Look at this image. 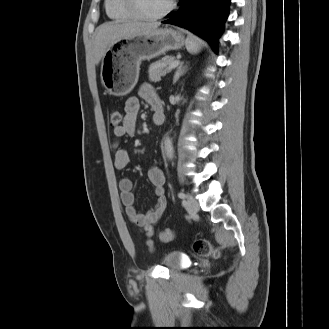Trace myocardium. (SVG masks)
<instances>
[{
	"label": "myocardium",
	"mask_w": 329,
	"mask_h": 329,
	"mask_svg": "<svg viewBox=\"0 0 329 329\" xmlns=\"http://www.w3.org/2000/svg\"><path fill=\"white\" fill-rule=\"evenodd\" d=\"M123 6L125 9L137 20L145 21V22H155L158 20L163 19L167 15H169L174 7H175V0H170L168 6L160 13L156 15H146L142 13L138 6L137 0H122Z\"/></svg>",
	"instance_id": "myocardium-1"
}]
</instances>
